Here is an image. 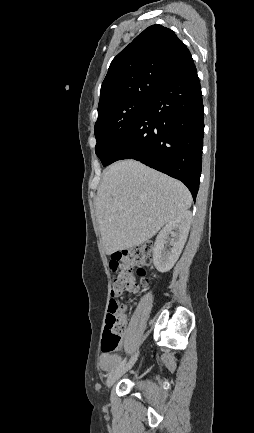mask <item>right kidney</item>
I'll return each mask as SVG.
<instances>
[{
    "instance_id": "ca27d5eb",
    "label": "right kidney",
    "mask_w": 254,
    "mask_h": 433,
    "mask_svg": "<svg viewBox=\"0 0 254 433\" xmlns=\"http://www.w3.org/2000/svg\"><path fill=\"white\" fill-rule=\"evenodd\" d=\"M191 221L192 214L186 211L166 224L157 235L153 247V263L159 272H168L176 263L187 240ZM169 234L172 237L171 247H167Z\"/></svg>"
}]
</instances>
